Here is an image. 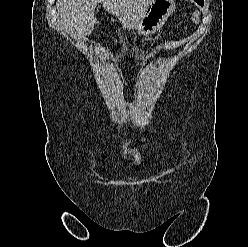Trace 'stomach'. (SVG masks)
<instances>
[{
    "label": "stomach",
    "mask_w": 248,
    "mask_h": 247,
    "mask_svg": "<svg viewBox=\"0 0 248 247\" xmlns=\"http://www.w3.org/2000/svg\"><path fill=\"white\" fill-rule=\"evenodd\" d=\"M175 9L174 0H152L145 6L141 19L134 27L136 33L143 36L155 33Z\"/></svg>",
    "instance_id": "stomach-1"
}]
</instances>
